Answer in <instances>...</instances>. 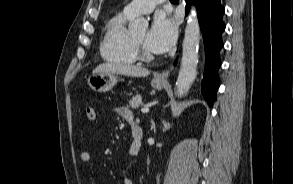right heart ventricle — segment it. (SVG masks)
<instances>
[{"label": "right heart ventricle", "instance_id": "e07e8e85", "mask_svg": "<svg viewBox=\"0 0 293 184\" xmlns=\"http://www.w3.org/2000/svg\"><path fill=\"white\" fill-rule=\"evenodd\" d=\"M131 18L120 12L106 23L100 43V54L104 60L118 64H132L137 60L132 36L127 29V23Z\"/></svg>", "mask_w": 293, "mask_h": 184}]
</instances>
